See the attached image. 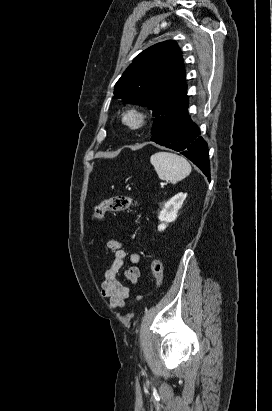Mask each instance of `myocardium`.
<instances>
[{
  "instance_id": "f54148a6",
  "label": "myocardium",
  "mask_w": 272,
  "mask_h": 411,
  "mask_svg": "<svg viewBox=\"0 0 272 411\" xmlns=\"http://www.w3.org/2000/svg\"><path fill=\"white\" fill-rule=\"evenodd\" d=\"M148 114L144 110L131 108L123 113L122 123L130 130H139L146 126Z\"/></svg>"
}]
</instances>
